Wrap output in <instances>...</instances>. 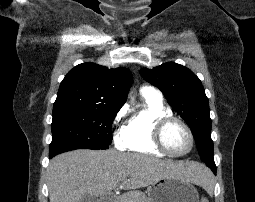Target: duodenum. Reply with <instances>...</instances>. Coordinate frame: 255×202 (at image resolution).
<instances>
[{
    "label": "duodenum",
    "instance_id": "410a0bca",
    "mask_svg": "<svg viewBox=\"0 0 255 202\" xmlns=\"http://www.w3.org/2000/svg\"><path fill=\"white\" fill-rule=\"evenodd\" d=\"M99 202H113V197L111 195H104L99 199Z\"/></svg>",
    "mask_w": 255,
    "mask_h": 202
}]
</instances>
